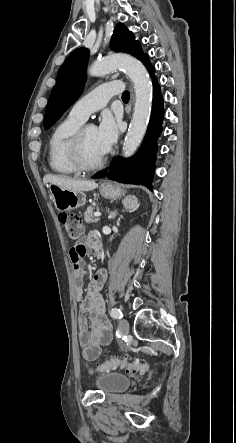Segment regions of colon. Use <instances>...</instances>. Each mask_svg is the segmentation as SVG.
<instances>
[{"label":"colon","instance_id":"colon-1","mask_svg":"<svg viewBox=\"0 0 236 443\" xmlns=\"http://www.w3.org/2000/svg\"><path fill=\"white\" fill-rule=\"evenodd\" d=\"M59 220L63 225L65 231L71 239L79 238L83 233V224L80 217L74 213H61L59 215ZM85 255V250L83 247H73L71 252L72 264L74 269H78L80 267V260ZM86 361H89V356H86ZM87 371L89 374H93L94 372L87 366ZM116 368H123L129 372H146L149 369V366L145 362L133 361L127 362L120 358H114L105 361L101 364L96 370L97 373H105L110 370H114Z\"/></svg>","mask_w":236,"mask_h":443}]
</instances>
